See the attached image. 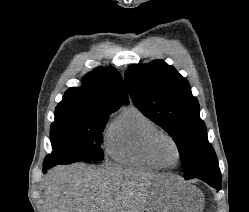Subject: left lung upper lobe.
I'll return each instance as SVG.
<instances>
[{"mask_svg": "<svg viewBox=\"0 0 249 212\" xmlns=\"http://www.w3.org/2000/svg\"><path fill=\"white\" fill-rule=\"evenodd\" d=\"M125 82L134 105L175 141L185 178L221 174L188 81L163 61L132 65Z\"/></svg>", "mask_w": 249, "mask_h": 212, "instance_id": "obj_1", "label": "left lung upper lobe"}]
</instances>
